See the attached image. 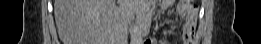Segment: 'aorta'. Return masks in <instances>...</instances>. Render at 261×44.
<instances>
[{
	"mask_svg": "<svg viewBox=\"0 0 261 44\" xmlns=\"http://www.w3.org/2000/svg\"><path fill=\"white\" fill-rule=\"evenodd\" d=\"M141 41V35H140V28L139 26L136 24L133 26L132 28V32H131V42L133 44H138Z\"/></svg>",
	"mask_w": 261,
	"mask_h": 44,
	"instance_id": "obj_1",
	"label": "aorta"
}]
</instances>
